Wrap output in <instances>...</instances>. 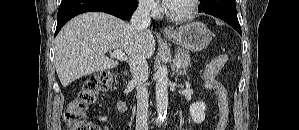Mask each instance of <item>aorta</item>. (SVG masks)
I'll return each mask as SVG.
<instances>
[{
    "instance_id": "aorta-1",
    "label": "aorta",
    "mask_w": 299,
    "mask_h": 130,
    "mask_svg": "<svg viewBox=\"0 0 299 130\" xmlns=\"http://www.w3.org/2000/svg\"><path fill=\"white\" fill-rule=\"evenodd\" d=\"M156 79V106L159 121H163L168 108V70L164 65H159L155 73Z\"/></svg>"
}]
</instances>
